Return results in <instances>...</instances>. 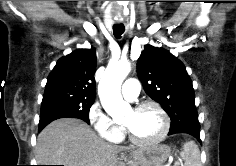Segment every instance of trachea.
Returning <instances> with one entry per match:
<instances>
[{
    "mask_svg": "<svg viewBox=\"0 0 236 166\" xmlns=\"http://www.w3.org/2000/svg\"><path fill=\"white\" fill-rule=\"evenodd\" d=\"M124 30H125V27L123 24L113 25V33L117 39L121 38L122 34L124 33Z\"/></svg>",
    "mask_w": 236,
    "mask_h": 166,
    "instance_id": "obj_1",
    "label": "trachea"
}]
</instances>
